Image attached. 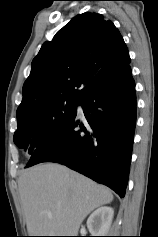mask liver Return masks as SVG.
I'll use <instances>...</instances> for the list:
<instances>
[{
    "label": "liver",
    "mask_w": 158,
    "mask_h": 237,
    "mask_svg": "<svg viewBox=\"0 0 158 237\" xmlns=\"http://www.w3.org/2000/svg\"><path fill=\"white\" fill-rule=\"evenodd\" d=\"M18 188L30 236H77L86 216L113 200L107 187L56 163L24 170Z\"/></svg>",
    "instance_id": "6515ba94"
}]
</instances>
